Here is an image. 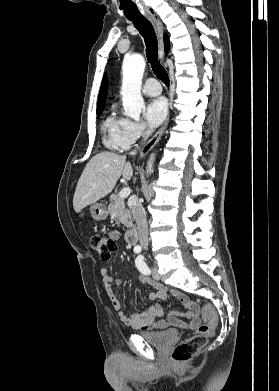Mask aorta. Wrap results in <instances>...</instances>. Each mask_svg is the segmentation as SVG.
Wrapping results in <instances>:
<instances>
[{"label":"aorta","instance_id":"obj_1","mask_svg":"<svg viewBox=\"0 0 279 391\" xmlns=\"http://www.w3.org/2000/svg\"><path fill=\"white\" fill-rule=\"evenodd\" d=\"M145 59L141 54L126 56L122 65V102L126 116L139 120L144 100L141 96L142 78L145 69ZM154 155L152 154L147 166V172H152Z\"/></svg>","mask_w":279,"mask_h":391}]
</instances>
